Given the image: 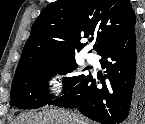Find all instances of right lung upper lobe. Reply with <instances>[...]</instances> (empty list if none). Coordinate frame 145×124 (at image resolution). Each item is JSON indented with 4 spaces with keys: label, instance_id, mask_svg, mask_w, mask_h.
Segmentation results:
<instances>
[{
    "label": "right lung upper lobe",
    "instance_id": "1",
    "mask_svg": "<svg viewBox=\"0 0 145 124\" xmlns=\"http://www.w3.org/2000/svg\"><path fill=\"white\" fill-rule=\"evenodd\" d=\"M136 26L129 0H57L35 20L15 76L39 62L73 57L85 45L81 38L96 37L99 52L109 41Z\"/></svg>",
    "mask_w": 145,
    "mask_h": 124
}]
</instances>
